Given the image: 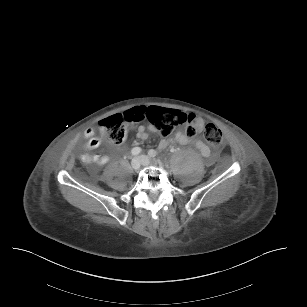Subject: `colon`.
Returning <instances> with one entry per match:
<instances>
[{
  "instance_id": "1",
  "label": "colon",
  "mask_w": 307,
  "mask_h": 307,
  "mask_svg": "<svg viewBox=\"0 0 307 307\" xmlns=\"http://www.w3.org/2000/svg\"><path fill=\"white\" fill-rule=\"evenodd\" d=\"M126 116H140L141 120L146 119L163 136H169L177 127H185V132L189 135L202 130L203 137L212 148L217 150L222 148V134L218 127L212 123L203 124L193 114L172 109L131 111L129 108L127 114L114 115L99 122L98 129L102 138L114 145L122 144L127 136Z\"/></svg>"
}]
</instances>
